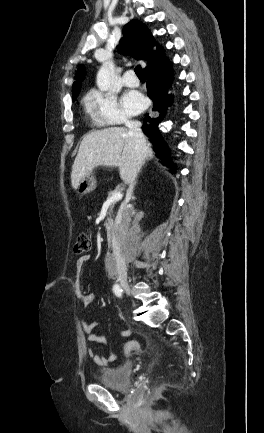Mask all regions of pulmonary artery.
I'll use <instances>...</instances> for the list:
<instances>
[{
    "mask_svg": "<svg viewBox=\"0 0 264 433\" xmlns=\"http://www.w3.org/2000/svg\"><path fill=\"white\" fill-rule=\"evenodd\" d=\"M123 83L125 86L133 88L139 85V80L132 70H128L123 75Z\"/></svg>",
    "mask_w": 264,
    "mask_h": 433,
    "instance_id": "e3ab8cb5",
    "label": "pulmonary artery"
}]
</instances>
